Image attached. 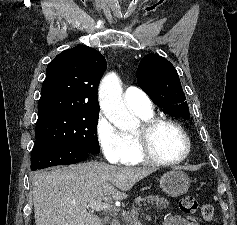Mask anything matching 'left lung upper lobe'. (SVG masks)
Instances as JSON below:
<instances>
[{
    "label": "left lung upper lobe",
    "instance_id": "obj_1",
    "mask_svg": "<svg viewBox=\"0 0 237 225\" xmlns=\"http://www.w3.org/2000/svg\"><path fill=\"white\" fill-rule=\"evenodd\" d=\"M137 83L167 113L186 120L190 118L177 71L164 57L146 55L137 69Z\"/></svg>",
    "mask_w": 237,
    "mask_h": 225
}]
</instances>
